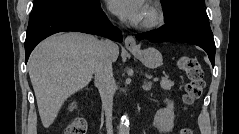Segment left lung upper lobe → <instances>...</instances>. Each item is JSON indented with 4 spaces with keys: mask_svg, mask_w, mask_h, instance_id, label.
Returning a JSON list of instances; mask_svg holds the SVG:
<instances>
[{
    "mask_svg": "<svg viewBox=\"0 0 239 134\" xmlns=\"http://www.w3.org/2000/svg\"><path fill=\"white\" fill-rule=\"evenodd\" d=\"M166 21L172 20L183 8L196 5L205 6L204 0H161Z\"/></svg>",
    "mask_w": 239,
    "mask_h": 134,
    "instance_id": "5c2ea615",
    "label": "left lung upper lobe"
}]
</instances>
